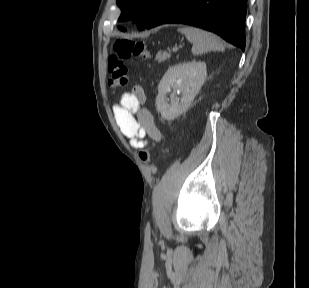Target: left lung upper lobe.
I'll use <instances>...</instances> for the list:
<instances>
[{
    "mask_svg": "<svg viewBox=\"0 0 309 288\" xmlns=\"http://www.w3.org/2000/svg\"><path fill=\"white\" fill-rule=\"evenodd\" d=\"M168 0H117L122 13L118 21H125L137 15L138 28L144 29L149 20L154 17ZM123 31L124 28H119Z\"/></svg>",
    "mask_w": 309,
    "mask_h": 288,
    "instance_id": "5c2ea615",
    "label": "left lung upper lobe"
}]
</instances>
